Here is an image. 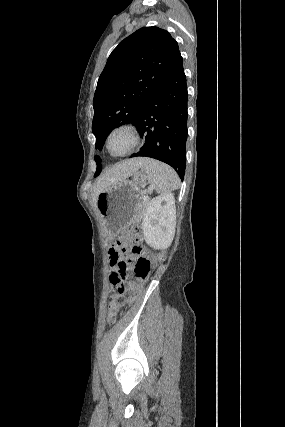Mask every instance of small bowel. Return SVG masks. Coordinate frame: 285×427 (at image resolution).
Returning <instances> with one entry per match:
<instances>
[{
	"label": "small bowel",
	"mask_w": 285,
	"mask_h": 427,
	"mask_svg": "<svg viewBox=\"0 0 285 427\" xmlns=\"http://www.w3.org/2000/svg\"><path fill=\"white\" fill-rule=\"evenodd\" d=\"M125 259H126V255H124V254L116 255L115 251H114V248L112 247L110 249V264H111V267H112L111 268V274H119L120 273V270L117 267V262L119 260H125ZM129 301L132 302L133 298L129 299Z\"/></svg>",
	"instance_id": "1"
}]
</instances>
